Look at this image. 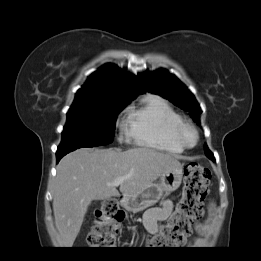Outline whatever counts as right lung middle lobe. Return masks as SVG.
<instances>
[{
    "label": "right lung middle lobe",
    "mask_w": 261,
    "mask_h": 261,
    "mask_svg": "<svg viewBox=\"0 0 261 261\" xmlns=\"http://www.w3.org/2000/svg\"><path fill=\"white\" fill-rule=\"evenodd\" d=\"M130 101L119 97L74 100L57 151L110 144L114 138L116 117Z\"/></svg>",
    "instance_id": "obj_1"
}]
</instances>
